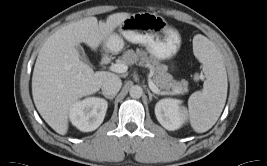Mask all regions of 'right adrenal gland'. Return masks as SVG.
<instances>
[{"instance_id": "obj_1", "label": "right adrenal gland", "mask_w": 267, "mask_h": 166, "mask_svg": "<svg viewBox=\"0 0 267 166\" xmlns=\"http://www.w3.org/2000/svg\"><path fill=\"white\" fill-rule=\"evenodd\" d=\"M99 94H102L106 99H109L110 101H112L114 99L115 96H107L104 93L99 92Z\"/></svg>"}]
</instances>
